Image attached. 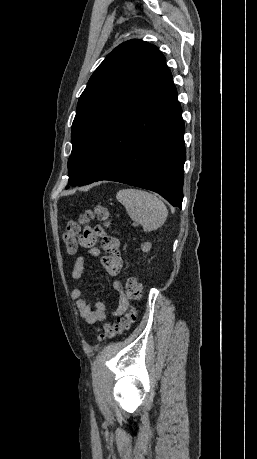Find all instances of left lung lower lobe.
Instances as JSON below:
<instances>
[{"instance_id":"0a47b994","label":"left lung lower lobe","mask_w":257,"mask_h":459,"mask_svg":"<svg viewBox=\"0 0 257 459\" xmlns=\"http://www.w3.org/2000/svg\"><path fill=\"white\" fill-rule=\"evenodd\" d=\"M184 122L164 63L112 133L108 158L93 182L110 180L159 193L181 207Z\"/></svg>"}]
</instances>
